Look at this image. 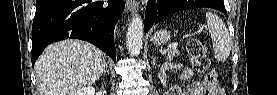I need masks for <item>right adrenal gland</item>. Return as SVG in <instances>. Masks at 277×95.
I'll use <instances>...</instances> for the list:
<instances>
[{"label":"right adrenal gland","instance_id":"obj_1","mask_svg":"<svg viewBox=\"0 0 277 95\" xmlns=\"http://www.w3.org/2000/svg\"><path fill=\"white\" fill-rule=\"evenodd\" d=\"M106 72L109 74V69H108V66H107V65H106V68H105V70H104V72H103V75H105Z\"/></svg>","mask_w":277,"mask_h":95}]
</instances>
